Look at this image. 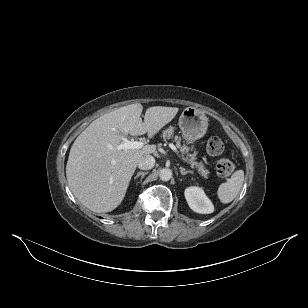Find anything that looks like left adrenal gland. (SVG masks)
I'll return each instance as SVG.
<instances>
[{
	"label": "left adrenal gland",
	"instance_id": "1",
	"mask_svg": "<svg viewBox=\"0 0 308 308\" xmlns=\"http://www.w3.org/2000/svg\"><path fill=\"white\" fill-rule=\"evenodd\" d=\"M180 173H181V175H186L187 173L193 174V171L185 170L184 168L180 167Z\"/></svg>",
	"mask_w": 308,
	"mask_h": 308
}]
</instances>
